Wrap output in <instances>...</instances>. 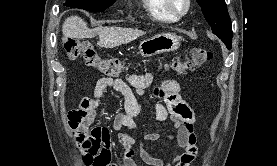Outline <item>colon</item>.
<instances>
[{
    "instance_id": "colon-1",
    "label": "colon",
    "mask_w": 277,
    "mask_h": 166,
    "mask_svg": "<svg viewBox=\"0 0 277 166\" xmlns=\"http://www.w3.org/2000/svg\"><path fill=\"white\" fill-rule=\"evenodd\" d=\"M64 48L66 55L70 60H76L79 57H83L88 66L99 70L101 73L109 77L118 76L124 71L125 61L123 59H104L96 52L89 42L66 38ZM213 57L214 54L209 49L194 48L185 59L173 60L170 67L179 73L193 71L210 62ZM74 116L75 118L70 128L76 139L81 141L89 133V126H87L82 112L75 111Z\"/></svg>"
}]
</instances>
